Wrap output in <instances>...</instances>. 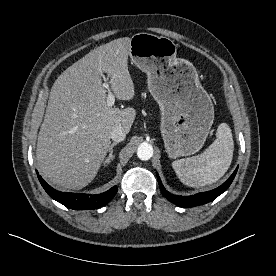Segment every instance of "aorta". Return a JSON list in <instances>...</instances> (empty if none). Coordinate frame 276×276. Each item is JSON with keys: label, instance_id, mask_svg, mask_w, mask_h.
Returning <instances> with one entry per match:
<instances>
[{"label": "aorta", "instance_id": "aorta-1", "mask_svg": "<svg viewBox=\"0 0 276 276\" xmlns=\"http://www.w3.org/2000/svg\"><path fill=\"white\" fill-rule=\"evenodd\" d=\"M137 156L140 160H149L153 156V147L149 143L140 144L137 149Z\"/></svg>", "mask_w": 276, "mask_h": 276}]
</instances>
